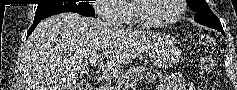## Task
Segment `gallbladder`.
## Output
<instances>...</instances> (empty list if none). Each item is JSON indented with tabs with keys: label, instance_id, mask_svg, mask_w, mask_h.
Masks as SVG:
<instances>
[{
	"label": "gallbladder",
	"instance_id": "bac80fb5",
	"mask_svg": "<svg viewBox=\"0 0 237 90\" xmlns=\"http://www.w3.org/2000/svg\"><path fill=\"white\" fill-rule=\"evenodd\" d=\"M82 90H88L87 86H81Z\"/></svg>",
	"mask_w": 237,
	"mask_h": 90
}]
</instances>
